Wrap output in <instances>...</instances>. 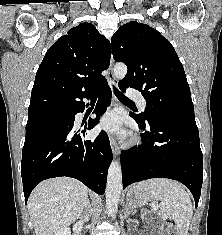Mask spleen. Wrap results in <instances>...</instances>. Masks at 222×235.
<instances>
[{"instance_id": "1", "label": "spleen", "mask_w": 222, "mask_h": 235, "mask_svg": "<svg viewBox=\"0 0 222 235\" xmlns=\"http://www.w3.org/2000/svg\"><path fill=\"white\" fill-rule=\"evenodd\" d=\"M151 200H160V210L176 224L179 235H188L193 206L189 194L177 182L164 178L150 179L137 184Z\"/></svg>"}]
</instances>
